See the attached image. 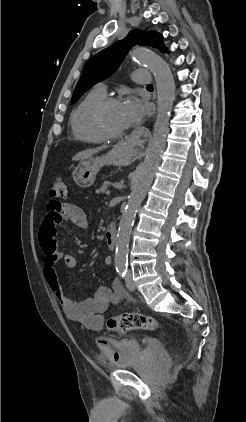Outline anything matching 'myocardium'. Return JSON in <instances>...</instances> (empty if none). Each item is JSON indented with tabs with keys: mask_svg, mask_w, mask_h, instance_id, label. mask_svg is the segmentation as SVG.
Wrapping results in <instances>:
<instances>
[{
	"mask_svg": "<svg viewBox=\"0 0 246 422\" xmlns=\"http://www.w3.org/2000/svg\"><path fill=\"white\" fill-rule=\"evenodd\" d=\"M121 104L120 99L116 97H105L102 99L93 109L92 111V120L96 127V129L99 131V133L105 138V139H118L125 135L126 131H113L109 129L105 123V112L106 110L112 106Z\"/></svg>",
	"mask_w": 246,
	"mask_h": 422,
	"instance_id": "1",
	"label": "myocardium"
}]
</instances>
